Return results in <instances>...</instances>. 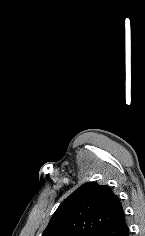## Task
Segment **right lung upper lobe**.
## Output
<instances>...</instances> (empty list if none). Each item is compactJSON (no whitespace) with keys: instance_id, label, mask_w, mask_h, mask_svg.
Masks as SVG:
<instances>
[{"instance_id":"cb5924a9","label":"right lung upper lobe","mask_w":145,"mask_h":236,"mask_svg":"<svg viewBox=\"0 0 145 236\" xmlns=\"http://www.w3.org/2000/svg\"><path fill=\"white\" fill-rule=\"evenodd\" d=\"M122 217V205L108 186L85 183L60 204L42 236H97Z\"/></svg>"}]
</instances>
